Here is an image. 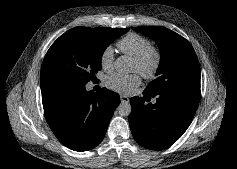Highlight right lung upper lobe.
<instances>
[{
    "mask_svg": "<svg viewBox=\"0 0 237 169\" xmlns=\"http://www.w3.org/2000/svg\"><path fill=\"white\" fill-rule=\"evenodd\" d=\"M99 29H109V28H99Z\"/></svg>",
    "mask_w": 237,
    "mask_h": 169,
    "instance_id": "obj_1",
    "label": "right lung upper lobe"
}]
</instances>
